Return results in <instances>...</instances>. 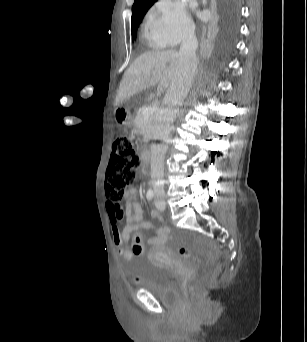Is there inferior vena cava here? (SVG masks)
Masks as SVG:
<instances>
[{
    "instance_id": "inferior-vena-cava-1",
    "label": "inferior vena cava",
    "mask_w": 307,
    "mask_h": 342,
    "mask_svg": "<svg viewBox=\"0 0 307 342\" xmlns=\"http://www.w3.org/2000/svg\"><path fill=\"white\" fill-rule=\"evenodd\" d=\"M197 48L198 42L194 30L186 32L179 50L176 76L166 92L163 102L165 106L164 114L161 124L156 128V134L164 144L151 148V182L153 190L161 192V194H164V160L168 150L170 132L177 118L178 108L182 106L185 98H187L195 78Z\"/></svg>"
}]
</instances>
